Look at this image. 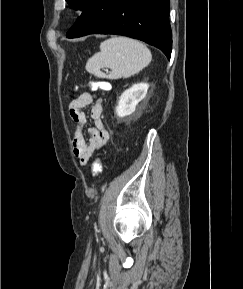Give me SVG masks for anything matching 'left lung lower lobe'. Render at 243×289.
Segmentation results:
<instances>
[{"mask_svg":"<svg viewBox=\"0 0 243 289\" xmlns=\"http://www.w3.org/2000/svg\"><path fill=\"white\" fill-rule=\"evenodd\" d=\"M169 5V0H91L66 36H129L159 48L170 59Z\"/></svg>","mask_w":243,"mask_h":289,"instance_id":"left-lung-lower-lobe-1","label":"left lung lower lobe"}]
</instances>
